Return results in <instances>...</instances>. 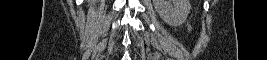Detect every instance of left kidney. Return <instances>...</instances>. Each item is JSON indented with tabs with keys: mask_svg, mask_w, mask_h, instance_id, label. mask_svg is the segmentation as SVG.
<instances>
[{
	"mask_svg": "<svg viewBox=\"0 0 267 60\" xmlns=\"http://www.w3.org/2000/svg\"><path fill=\"white\" fill-rule=\"evenodd\" d=\"M160 18L170 26L182 25L191 9L189 0H152Z\"/></svg>",
	"mask_w": 267,
	"mask_h": 60,
	"instance_id": "5707ae66",
	"label": "left kidney"
}]
</instances>
